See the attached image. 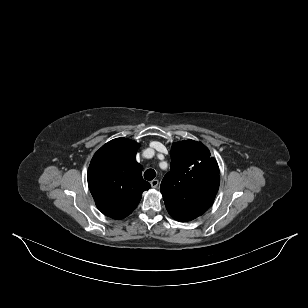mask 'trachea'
Here are the masks:
<instances>
[{
    "label": "trachea",
    "mask_w": 308,
    "mask_h": 308,
    "mask_svg": "<svg viewBox=\"0 0 308 308\" xmlns=\"http://www.w3.org/2000/svg\"><path fill=\"white\" fill-rule=\"evenodd\" d=\"M156 176V172L153 169H147L144 172V178L148 181L153 180Z\"/></svg>",
    "instance_id": "1"
}]
</instances>
